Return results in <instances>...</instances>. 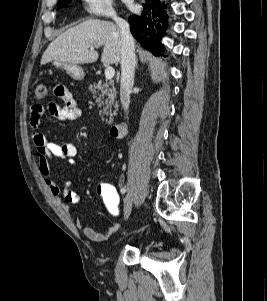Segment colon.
<instances>
[{
  "instance_id": "colon-1",
  "label": "colon",
  "mask_w": 267,
  "mask_h": 301,
  "mask_svg": "<svg viewBox=\"0 0 267 301\" xmlns=\"http://www.w3.org/2000/svg\"><path fill=\"white\" fill-rule=\"evenodd\" d=\"M47 95V87L39 84L35 88L36 99H43ZM96 193L101 206L112 217H118L121 212L120 196L116 188L107 182H99L96 186Z\"/></svg>"
}]
</instances>
